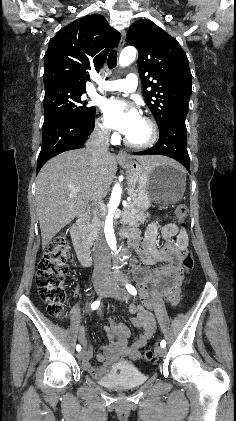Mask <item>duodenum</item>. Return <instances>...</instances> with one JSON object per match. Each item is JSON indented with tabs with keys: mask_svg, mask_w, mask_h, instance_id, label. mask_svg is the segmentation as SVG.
Here are the masks:
<instances>
[{
	"mask_svg": "<svg viewBox=\"0 0 236 421\" xmlns=\"http://www.w3.org/2000/svg\"><path fill=\"white\" fill-rule=\"evenodd\" d=\"M87 217V210L82 209L70 227V234L75 251L78 259L84 266H89L91 264L90 245L84 233V226ZM122 235L128 240L130 245L138 251L145 264L155 265L167 262L166 266L157 268L154 271H149L144 267H137L135 269V275L140 286V293L146 305L150 307L153 305V296L151 294L152 286L150 284L151 278L155 279L157 282L156 288L158 291H160L169 302L175 303L178 299V287L181 281L180 253L177 246L174 244H168L165 249L160 252L156 250L154 246H149V244H147V242L139 236V231L136 228L127 229L123 231ZM136 324L144 328L145 331L134 344L135 347L140 345V343H142L147 337L146 321L144 318L138 317L136 319ZM76 331L78 332L79 338H81V329L77 328ZM110 332L116 335L117 341L104 346L105 354L97 355V359L100 362H104L105 366L101 368L91 366L89 363V359L91 358L90 350L87 351L83 361L84 368L95 378L100 377L105 372L107 366H109L120 355L127 352L124 341L126 333L123 331L114 332L113 330Z\"/></svg>",
	"mask_w": 236,
	"mask_h": 421,
	"instance_id": "obj_1",
	"label": "duodenum"
}]
</instances>
